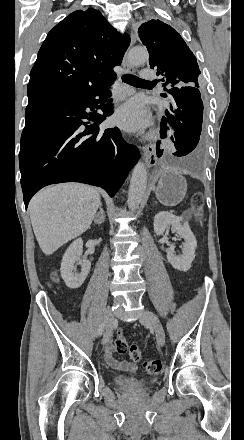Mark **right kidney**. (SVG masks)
Returning a JSON list of instances; mask_svg holds the SVG:
<instances>
[{
	"label": "right kidney",
	"instance_id": "right-kidney-1",
	"mask_svg": "<svg viewBox=\"0 0 244 440\" xmlns=\"http://www.w3.org/2000/svg\"><path fill=\"white\" fill-rule=\"evenodd\" d=\"M82 254L83 240L82 238H77V240H74V242L70 244L62 258L60 268L61 276L66 286L71 288V290L80 288L90 272L91 262L86 260V258L81 260ZM76 266H81V272H79V274L75 272Z\"/></svg>",
	"mask_w": 244,
	"mask_h": 440
}]
</instances>
